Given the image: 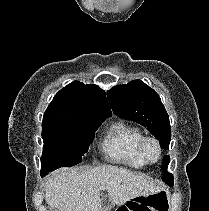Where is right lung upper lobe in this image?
<instances>
[{
	"label": "right lung upper lobe",
	"instance_id": "right-lung-upper-lobe-1",
	"mask_svg": "<svg viewBox=\"0 0 209 211\" xmlns=\"http://www.w3.org/2000/svg\"><path fill=\"white\" fill-rule=\"evenodd\" d=\"M111 114L104 90L74 81L55 95L44 113L43 123H71L107 118Z\"/></svg>",
	"mask_w": 209,
	"mask_h": 211
}]
</instances>
